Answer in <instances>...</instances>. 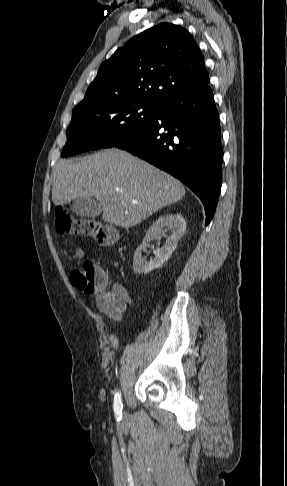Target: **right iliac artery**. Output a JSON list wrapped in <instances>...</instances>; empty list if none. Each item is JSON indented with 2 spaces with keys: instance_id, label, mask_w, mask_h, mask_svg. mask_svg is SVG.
<instances>
[{
  "instance_id": "82829eb1",
  "label": "right iliac artery",
  "mask_w": 287,
  "mask_h": 486,
  "mask_svg": "<svg viewBox=\"0 0 287 486\" xmlns=\"http://www.w3.org/2000/svg\"><path fill=\"white\" fill-rule=\"evenodd\" d=\"M122 409H123V404H122V399H121V394L117 392L114 397V411L117 416H122Z\"/></svg>"
}]
</instances>
